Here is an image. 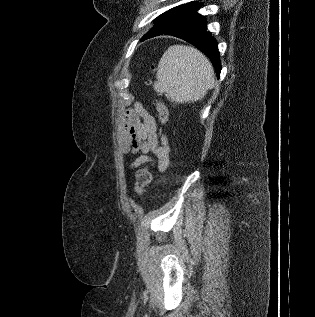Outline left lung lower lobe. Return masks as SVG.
I'll list each match as a JSON object with an SVG mask.
<instances>
[{
	"instance_id": "0a47b994",
	"label": "left lung lower lobe",
	"mask_w": 315,
	"mask_h": 317,
	"mask_svg": "<svg viewBox=\"0 0 315 317\" xmlns=\"http://www.w3.org/2000/svg\"><path fill=\"white\" fill-rule=\"evenodd\" d=\"M201 6V3L195 4L162 34L181 38L197 47L209 57L215 68L217 76L219 77L221 64L217 41L210 32L206 31L207 27L205 17L197 13V10Z\"/></svg>"
}]
</instances>
